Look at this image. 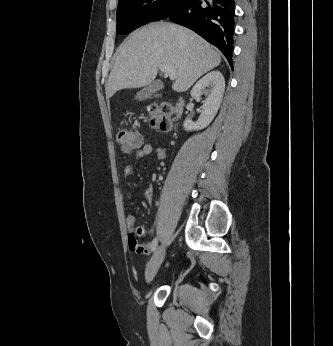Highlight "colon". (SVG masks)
Wrapping results in <instances>:
<instances>
[{"mask_svg":"<svg viewBox=\"0 0 333 346\" xmlns=\"http://www.w3.org/2000/svg\"><path fill=\"white\" fill-rule=\"evenodd\" d=\"M174 112V106L169 102H164L160 105H152L149 107V114L151 116V125L160 130L166 131L170 127V117ZM117 142L121 147V150L130 154L138 150L142 145L141 137L138 133L128 130L121 129L117 133ZM147 226H142L141 229H137L138 235L144 236V233L148 232Z\"/></svg>","mask_w":333,"mask_h":346,"instance_id":"1","label":"colon"}]
</instances>
